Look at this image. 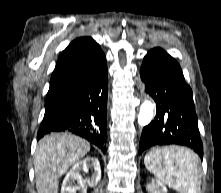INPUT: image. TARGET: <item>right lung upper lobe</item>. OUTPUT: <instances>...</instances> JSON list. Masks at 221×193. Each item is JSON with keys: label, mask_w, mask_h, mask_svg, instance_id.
<instances>
[{"label": "right lung upper lobe", "mask_w": 221, "mask_h": 193, "mask_svg": "<svg viewBox=\"0 0 221 193\" xmlns=\"http://www.w3.org/2000/svg\"><path fill=\"white\" fill-rule=\"evenodd\" d=\"M104 60L103 51L92 38L81 37L71 42L58 58L46 102L66 100Z\"/></svg>", "instance_id": "obj_1"}]
</instances>
